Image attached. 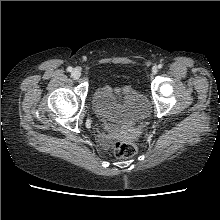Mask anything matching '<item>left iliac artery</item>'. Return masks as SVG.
Masks as SVG:
<instances>
[{
  "label": "left iliac artery",
  "mask_w": 220,
  "mask_h": 220,
  "mask_svg": "<svg viewBox=\"0 0 220 220\" xmlns=\"http://www.w3.org/2000/svg\"><path fill=\"white\" fill-rule=\"evenodd\" d=\"M163 67V64H159L158 68L161 69Z\"/></svg>",
  "instance_id": "obj_1"
}]
</instances>
